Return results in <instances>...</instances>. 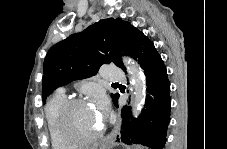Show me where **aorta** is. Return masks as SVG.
Here are the masks:
<instances>
[{"label": "aorta", "mask_w": 227, "mask_h": 149, "mask_svg": "<svg viewBox=\"0 0 227 149\" xmlns=\"http://www.w3.org/2000/svg\"><path fill=\"white\" fill-rule=\"evenodd\" d=\"M123 63L130 76V82L133 87L132 113L137 117L144 106L146 98V79L138 66L128 57L123 58Z\"/></svg>", "instance_id": "aorta-1"}]
</instances>
